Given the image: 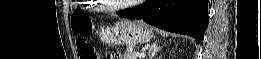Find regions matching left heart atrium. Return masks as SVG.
I'll return each mask as SVG.
<instances>
[{"mask_svg":"<svg viewBox=\"0 0 261 59\" xmlns=\"http://www.w3.org/2000/svg\"><path fill=\"white\" fill-rule=\"evenodd\" d=\"M129 3H140L142 2V0H130V1H127Z\"/></svg>","mask_w":261,"mask_h":59,"instance_id":"1","label":"left heart atrium"}]
</instances>
